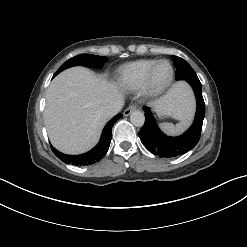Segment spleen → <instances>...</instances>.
Masks as SVG:
<instances>
[{
	"label": "spleen",
	"mask_w": 247,
	"mask_h": 247,
	"mask_svg": "<svg viewBox=\"0 0 247 247\" xmlns=\"http://www.w3.org/2000/svg\"><path fill=\"white\" fill-rule=\"evenodd\" d=\"M189 125V122L182 121L177 123L176 125L172 123H162L161 128L170 135H178L181 134Z\"/></svg>",
	"instance_id": "1"
}]
</instances>
